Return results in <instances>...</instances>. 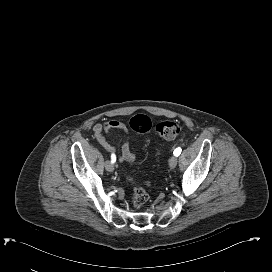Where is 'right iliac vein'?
Returning a JSON list of instances; mask_svg holds the SVG:
<instances>
[{
  "label": "right iliac vein",
  "mask_w": 272,
  "mask_h": 272,
  "mask_svg": "<svg viewBox=\"0 0 272 272\" xmlns=\"http://www.w3.org/2000/svg\"><path fill=\"white\" fill-rule=\"evenodd\" d=\"M105 168H106V170L108 172H113L114 171V165L109 161L105 162Z\"/></svg>",
  "instance_id": "right-iliac-vein-1"
}]
</instances>
